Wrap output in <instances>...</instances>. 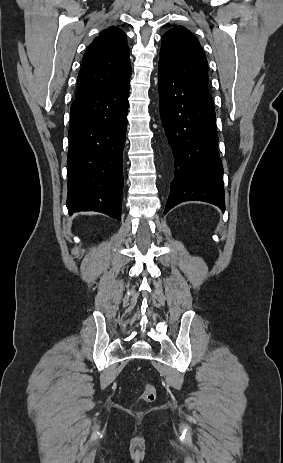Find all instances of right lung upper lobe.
<instances>
[{
    "mask_svg": "<svg viewBox=\"0 0 283 463\" xmlns=\"http://www.w3.org/2000/svg\"><path fill=\"white\" fill-rule=\"evenodd\" d=\"M130 75L126 34L111 26L90 44L83 56L76 98L121 83Z\"/></svg>",
    "mask_w": 283,
    "mask_h": 463,
    "instance_id": "right-lung-upper-lobe-1",
    "label": "right lung upper lobe"
}]
</instances>
